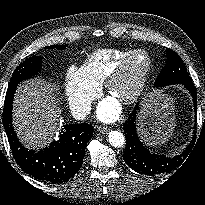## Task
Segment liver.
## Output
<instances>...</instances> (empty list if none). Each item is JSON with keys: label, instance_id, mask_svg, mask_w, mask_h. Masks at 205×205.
I'll return each mask as SVG.
<instances>
[{"label": "liver", "instance_id": "obj_1", "mask_svg": "<svg viewBox=\"0 0 205 205\" xmlns=\"http://www.w3.org/2000/svg\"><path fill=\"white\" fill-rule=\"evenodd\" d=\"M15 129L28 148H43L56 138L60 109L54 88L37 79L20 84L13 106Z\"/></svg>", "mask_w": 205, "mask_h": 205}]
</instances>
